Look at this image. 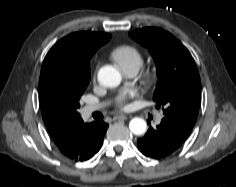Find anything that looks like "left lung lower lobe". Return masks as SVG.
<instances>
[{
    "label": "left lung lower lobe",
    "instance_id": "1",
    "mask_svg": "<svg viewBox=\"0 0 236 187\" xmlns=\"http://www.w3.org/2000/svg\"><path fill=\"white\" fill-rule=\"evenodd\" d=\"M190 132L176 122L163 118L155 129L149 127L145 136L137 141V146L145 156L159 159L177 150Z\"/></svg>",
    "mask_w": 236,
    "mask_h": 187
}]
</instances>
